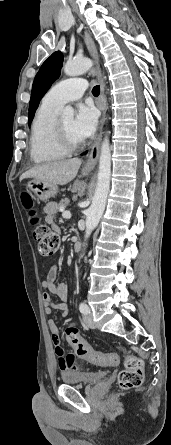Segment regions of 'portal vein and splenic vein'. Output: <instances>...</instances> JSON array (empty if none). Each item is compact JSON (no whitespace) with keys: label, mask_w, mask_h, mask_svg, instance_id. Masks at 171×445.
Returning <instances> with one entry per match:
<instances>
[{"label":"portal vein and splenic vein","mask_w":171,"mask_h":445,"mask_svg":"<svg viewBox=\"0 0 171 445\" xmlns=\"http://www.w3.org/2000/svg\"><path fill=\"white\" fill-rule=\"evenodd\" d=\"M62 211V217L65 219H70L71 218V213L69 211H65L63 209H61Z\"/></svg>","instance_id":"portal-vein-and-splenic-vein-1"}]
</instances>
